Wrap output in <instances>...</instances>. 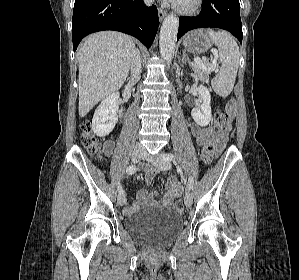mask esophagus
Wrapping results in <instances>:
<instances>
[{
	"label": "esophagus",
	"mask_w": 299,
	"mask_h": 280,
	"mask_svg": "<svg viewBox=\"0 0 299 280\" xmlns=\"http://www.w3.org/2000/svg\"><path fill=\"white\" fill-rule=\"evenodd\" d=\"M158 15H159V18H160V19H164L165 16H166V11L163 10V9H161V8H159V9H158Z\"/></svg>",
	"instance_id": "34e87169"
}]
</instances>
